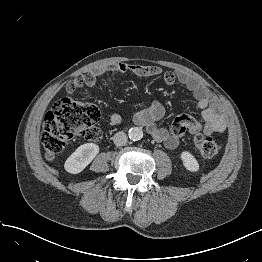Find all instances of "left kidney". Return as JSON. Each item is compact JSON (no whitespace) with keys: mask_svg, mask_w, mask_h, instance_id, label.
<instances>
[{"mask_svg":"<svg viewBox=\"0 0 262 262\" xmlns=\"http://www.w3.org/2000/svg\"><path fill=\"white\" fill-rule=\"evenodd\" d=\"M181 160L183 161L184 167L191 171L196 172L199 170V164L196 158L188 151H183L180 155Z\"/></svg>","mask_w":262,"mask_h":262,"instance_id":"5707ae66","label":"left kidney"}]
</instances>
